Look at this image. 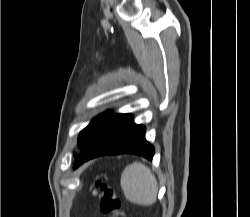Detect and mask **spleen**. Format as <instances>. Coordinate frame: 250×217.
Listing matches in <instances>:
<instances>
[{
	"mask_svg": "<svg viewBox=\"0 0 250 217\" xmlns=\"http://www.w3.org/2000/svg\"><path fill=\"white\" fill-rule=\"evenodd\" d=\"M121 188L131 203L150 206L156 202L158 184L150 169L140 162L127 166L121 175Z\"/></svg>",
	"mask_w": 250,
	"mask_h": 217,
	"instance_id": "1",
	"label": "spleen"
}]
</instances>
